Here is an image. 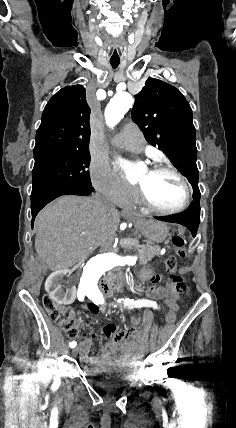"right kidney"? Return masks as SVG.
Returning a JSON list of instances; mask_svg holds the SVG:
<instances>
[{"mask_svg":"<svg viewBox=\"0 0 236 428\" xmlns=\"http://www.w3.org/2000/svg\"><path fill=\"white\" fill-rule=\"evenodd\" d=\"M73 273L70 269H51L50 277L47 278V291L51 293V300L55 306H66L72 304L77 292V283H64Z\"/></svg>","mask_w":236,"mask_h":428,"instance_id":"1","label":"right kidney"}]
</instances>
